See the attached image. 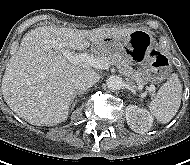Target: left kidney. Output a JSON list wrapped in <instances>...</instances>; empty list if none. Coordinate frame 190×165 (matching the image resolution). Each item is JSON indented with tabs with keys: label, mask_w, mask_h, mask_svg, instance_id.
I'll use <instances>...</instances> for the list:
<instances>
[{
	"label": "left kidney",
	"mask_w": 190,
	"mask_h": 165,
	"mask_svg": "<svg viewBox=\"0 0 190 165\" xmlns=\"http://www.w3.org/2000/svg\"><path fill=\"white\" fill-rule=\"evenodd\" d=\"M125 113L127 124L134 132L143 134L151 129L153 117L146 109H140L135 105H129Z\"/></svg>",
	"instance_id": "left-kidney-1"
}]
</instances>
